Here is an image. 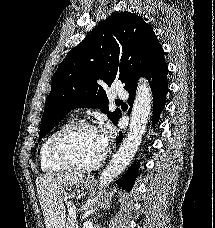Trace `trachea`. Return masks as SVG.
Returning <instances> with one entry per match:
<instances>
[{
	"label": "trachea",
	"mask_w": 215,
	"mask_h": 228,
	"mask_svg": "<svg viewBox=\"0 0 215 228\" xmlns=\"http://www.w3.org/2000/svg\"><path fill=\"white\" fill-rule=\"evenodd\" d=\"M116 105H125L122 100H116Z\"/></svg>",
	"instance_id": "obj_1"
}]
</instances>
